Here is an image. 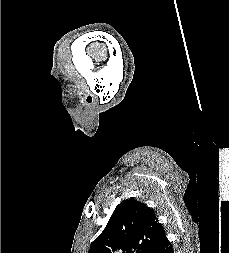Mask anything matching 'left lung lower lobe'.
<instances>
[{"instance_id": "obj_1", "label": "left lung lower lobe", "mask_w": 229, "mask_h": 253, "mask_svg": "<svg viewBox=\"0 0 229 253\" xmlns=\"http://www.w3.org/2000/svg\"><path fill=\"white\" fill-rule=\"evenodd\" d=\"M154 253H174L173 247L168 239L165 237L156 248Z\"/></svg>"}]
</instances>
